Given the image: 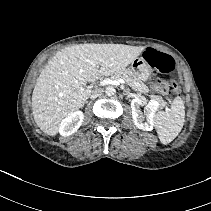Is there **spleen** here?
<instances>
[{
  "instance_id": "3e777b00",
  "label": "spleen",
  "mask_w": 211,
  "mask_h": 211,
  "mask_svg": "<svg viewBox=\"0 0 211 211\" xmlns=\"http://www.w3.org/2000/svg\"><path fill=\"white\" fill-rule=\"evenodd\" d=\"M185 122V107L181 97L177 96L169 112L160 111L154 114L153 125L155 126L159 140L162 144L173 141L183 128Z\"/></svg>"
}]
</instances>
